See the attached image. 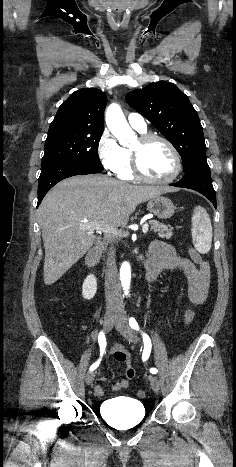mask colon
<instances>
[{"instance_id":"5ec220e1","label":"colon","mask_w":236,"mask_h":467,"mask_svg":"<svg viewBox=\"0 0 236 467\" xmlns=\"http://www.w3.org/2000/svg\"><path fill=\"white\" fill-rule=\"evenodd\" d=\"M188 252H189V255H190V257H191V259L193 260L194 263H196L197 265L202 263V258H201L200 254L197 252V250L195 248L190 247ZM193 319H194V313H193V311L191 309H188L186 311V313H185V323L187 325H189V324L192 323ZM125 358H126V356L122 352H117L116 355H115V359L119 360V361H123V360H125ZM138 396L143 397L144 392L139 391Z\"/></svg>"}]
</instances>
